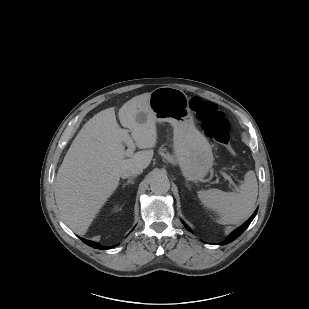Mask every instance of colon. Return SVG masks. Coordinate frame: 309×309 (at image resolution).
<instances>
[{
	"mask_svg": "<svg viewBox=\"0 0 309 309\" xmlns=\"http://www.w3.org/2000/svg\"><path fill=\"white\" fill-rule=\"evenodd\" d=\"M190 108L203 131L210 138L223 145L229 154L234 155L235 150L230 144L229 123L218 106L211 101L195 96L190 100Z\"/></svg>",
	"mask_w": 309,
	"mask_h": 309,
	"instance_id": "colon-1",
	"label": "colon"
}]
</instances>
